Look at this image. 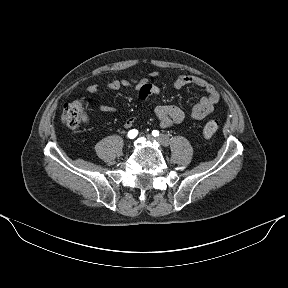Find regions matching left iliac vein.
I'll return each instance as SVG.
<instances>
[{
	"mask_svg": "<svg viewBox=\"0 0 288 288\" xmlns=\"http://www.w3.org/2000/svg\"><path fill=\"white\" fill-rule=\"evenodd\" d=\"M148 140H155V138L154 137H152V135H150V134H147L146 136H145ZM158 142H160L162 145H164V146H166L168 143H167V141L165 140V139H163V138H160V139H156Z\"/></svg>",
	"mask_w": 288,
	"mask_h": 288,
	"instance_id": "1",
	"label": "left iliac vein"
}]
</instances>
